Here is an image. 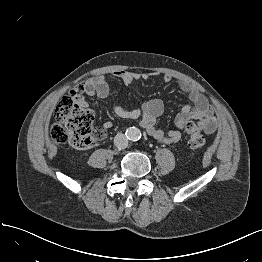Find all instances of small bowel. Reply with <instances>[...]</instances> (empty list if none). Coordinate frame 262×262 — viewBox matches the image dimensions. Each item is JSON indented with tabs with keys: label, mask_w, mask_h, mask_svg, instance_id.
I'll return each mask as SVG.
<instances>
[{
	"label": "small bowel",
	"mask_w": 262,
	"mask_h": 262,
	"mask_svg": "<svg viewBox=\"0 0 262 262\" xmlns=\"http://www.w3.org/2000/svg\"><path fill=\"white\" fill-rule=\"evenodd\" d=\"M112 76L121 81L124 85H129L135 81H147L153 74L144 72L136 73L123 69H115L111 72ZM174 81L172 75L167 74L163 77L165 84ZM179 87L184 92L190 104L186 105L178 113L175 119L177 129L165 133L161 128L156 127L157 118L163 113L164 105L159 99H151L146 101L140 108H126L120 105H114V113L123 119H131L139 117L143 127L147 133L162 144H175L182 138L181 130L185 124L192 120L200 130L207 134L214 133L218 129V119L214 115L213 109L210 107L204 95L195 88L189 81L181 79L178 81ZM73 92L79 95L98 96L107 98L110 95V88L104 76H95L77 85ZM113 127V122L106 121L98 133V138L102 139L106 135V131Z\"/></svg>",
	"instance_id": "small-bowel-1"
}]
</instances>
